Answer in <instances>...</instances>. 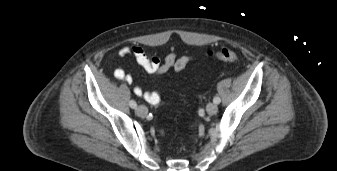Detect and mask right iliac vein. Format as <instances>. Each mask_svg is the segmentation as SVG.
I'll return each instance as SVG.
<instances>
[{"mask_svg":"<svg viewBox=\"0 0 337 171\" xmlns=\"http://www.w3.org/2000/svg\"><path fill=\"white\" fill-rule=\"evenodd\" d=\"M136 114L138 115V116H140V117H144V116H146L147 115V113H148V109H147V107H145V106H143V105H140V106H138L137 108H136Z\"/></svg>","mask_w":337,"mask_h":171,"instance_id":"63e3f726","label":"right iliac vein"}]
</instances>
